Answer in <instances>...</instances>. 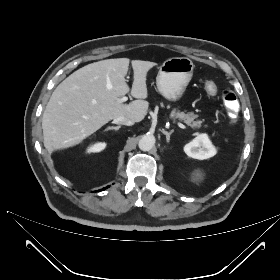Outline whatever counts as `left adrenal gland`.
<instances>
[{"mask_svg":"<svg viewBox=\"0 0 280 280\" xmlns=\"http://www.w3.org/2000/svg\"><path fill=\"white\" fill-rule=\"evenodd\" d=\"M173 132H174V130H171L170 132H167L164 129H162V133L166 136V140H167L168 143L170 142V136Z\"/></svg>","mask_w":280,"mask_h":280,"instance_id":"a2214340","label":"left adrenal gland"}]
</instances>
